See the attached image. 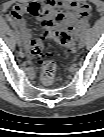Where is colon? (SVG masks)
<instances>
[{"mask_svg":"<svg viewBox=\"0 0 104 137\" xmlns=\"http://www.w3.org/2000/svg\"><path fill=\"white\" fill-rule=\"evenodd\" d=\"M45 38H50L74 53L75 41L70 31L61 24L48 23L45 29ZM30 54L37 61L40 78L44 85H50L57 77V67L52 56L44 49V38H36L31 41Z\"/></svg>","mask_w":104,"mask_h":137,"instance_id":"5ec220e1","label":"colon"}]
</instances>
